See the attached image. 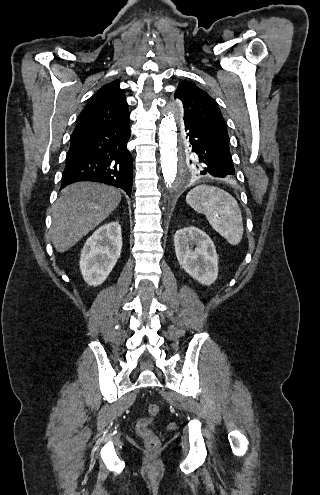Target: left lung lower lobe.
<instances>
[{"label":"left lung lower lobe","instance_id":"obj_1","mask_svg":"<svg viewBox=\"0 0 320 495\" xmlns=\"http://www.w3.org/2000/svg\"><path fill=\"white\" fill-rule=\"evenodd\" d=\"M182 125L188 144L200 152L201 175L224 178L235 174L228 144L194 119L183 118Z\"/></svg>","mask_w":320,"mask_h":495}]
</instances>
